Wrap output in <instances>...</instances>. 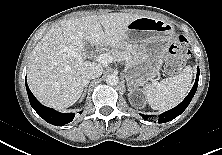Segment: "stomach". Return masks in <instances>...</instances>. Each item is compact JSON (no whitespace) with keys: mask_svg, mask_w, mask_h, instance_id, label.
I'll return each mask as SVG.
<instances>
[{"mask_svg":"<svg viewBox=\"0 0 222 155\" xmlns=\"http://www.w3.org/2000/svg\"><path fill=\"white\" fill-rule=\"evenodd\" d=\"M173 36L174 27L161 19L141 16L129 24L125 42L136 49L125 69L128 85H141L159 73Z\"/></svg>","mask_w":222,"mask_h":155,"instance_id":"obj_1","label":"stomach"}]
</instances>
